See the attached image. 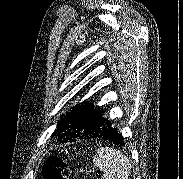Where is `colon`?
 Wrapping results in <instances>:
<instances>
[{
    "mask_svg": "<svg viewBox=\"0 0 183 179\" xmlns=\"http://www.w3.org/2000/svg\"><path fill=\"white\" fill-rule=\"evenodd\" d=\"M43 179H71L65 162L58 156H51L42 170Z\"/></svg>",
    "mask_w": 183,
    "mask_h": 179,
    "instance_id": "5ec220e1",
    "label": "colon"
}]
</instances>
